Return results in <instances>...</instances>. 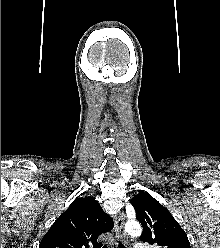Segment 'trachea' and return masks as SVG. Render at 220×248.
<instances>
[{
	"label": "trachea",
	"instance_id": "3493384b",
	"mask_svg": "<svg viewBox=\"0 0 220 248\" xmlns=\"http://www.w3.org/2000/svg\"><path fill=\"white\" fill-rule=\"evenodd\" d=\"M103 248H108V246L107 245H104ZM118 248H125V246L121 242H119L118 243Z\"/></svg>",
	"mask_w": 220,
	"mask_h": 248
}]
</instances>
